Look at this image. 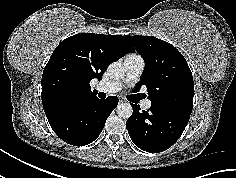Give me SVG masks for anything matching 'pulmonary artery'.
Here are the masks:
<instances>
[{"instance_id": "obj_1", "label": "pulmonary artery", "mask_w": 236, "mask_h": 178, "mask_svg": "<svg viewBox=\"0 0 236 178\" xmlns=\"http://www.w3.org/2000/svg\"><path fill=\"white\" fill-rule=\"evenodd\" d=\"M144 61L138 55H130L125 58L124 60V68H125V78L124 81H111V82H104L100 83L96 86V90L108 94H113L119 91L123 83H129L136 80L138 77L141 76L144 70ZM143 109H149L151 107L150 100H143L141 103Z\"/></svg>"}]
</instances>
